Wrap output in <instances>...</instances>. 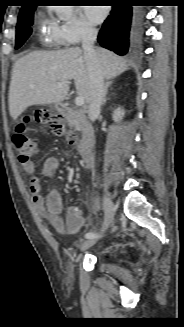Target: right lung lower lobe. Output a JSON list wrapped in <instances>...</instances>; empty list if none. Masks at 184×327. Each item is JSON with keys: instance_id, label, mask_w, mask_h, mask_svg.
<instances>
[{"instance_id": "obj_1", "label": "right lung lower lobe", "mask_w": 184, "mask_h": 327, "mask_svg": "<svg viewBox=\"0 0 184 327\" xmlns=\"http://www.w3.org/2000/svg\"><path fill=\"white\" fill-rule=\"evenodd\" d=\"M141 21L140 14L135 13L133 16L132 6L114 5L97 40L102 47L124 55L129 49V36L132 35L133 39L140 36Z\"/></svg>"}]
</instances>
